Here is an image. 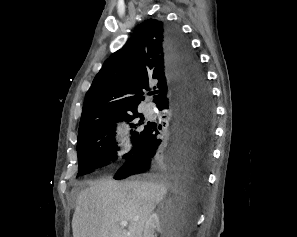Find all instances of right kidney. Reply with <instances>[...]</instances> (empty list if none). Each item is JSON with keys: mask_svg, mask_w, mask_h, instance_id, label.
<instances>
[{"mask_svg": "<svg viewBox=\"0 0 297 237\" xmlns=\"http://www.w3.org/2000/svg\"><path fill=\"white\" fill-rule=\"evenodd\" d=\"M163 232L165 237H173L171 233L164 229V225L160 221V216L158 213H153L149 216L145 223L143 237H157L155 231Z\"/></svg>", "mask_w": 297, "mask_h": 237, "instance_id": "1", "label": "right kidney"}]
</instances>
